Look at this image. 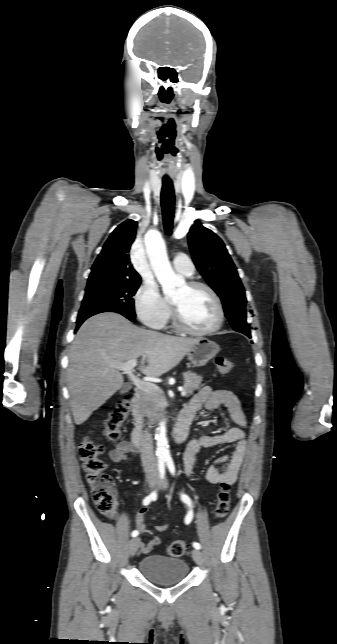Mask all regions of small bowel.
<instances>
[{"label":"small bowel","mask_w":337,"mask_h":644,"mask_svg":"<svg viewBox=\"0 0 337 644\" xmlns=\"http://www.w3.org/2000/svg\"><path fill=\"white\" fill-rule=\"evenodd\" d=\"M220 406L227 409L230 418L236 426L218 434L201 435L198 438L192 439L183 454L184 470L187 476L192 474L196 455L201 448L234 443V451L230 455L218 458L215 464L211 465L206 472V479L212 484H221L222 482L233 484L237 480L238 472L247 449L246 434L244 431L247 424L246 416L241 409L236 395L229 390H213L209 386H204L194 395L181 413H185L193 419L196 413L202 408L207 411H212ZM136 453L137 449L131 442L123 441L109 451V458L113 462H123L130 460ZM221 465H225L224 470L219 469ZM146 517L147 510L145 508L140 509L135 518V528L140 533L153 535V532L146 526ZM168 528L169 526L167 524H160L155 527V530L165 532ZM160 543V537L153 535L147 542L140 540L139 548L142 553L148 554Z\"/></svg>","instance_id":"1"}]
</instances>
